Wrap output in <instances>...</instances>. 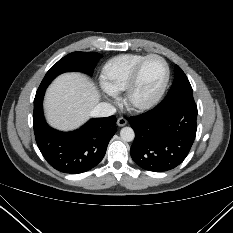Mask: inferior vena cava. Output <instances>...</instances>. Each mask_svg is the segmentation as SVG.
Listing matches in <instances>:
<instances>
[{
	"label": "inferior vena cava",
	"mask_w": 233,
	"mask_h": 233,
	"mask_svg": "<svg viewBox=\"0 0 233 233\" xmlns=\"http://www.w3.org/2000/svg\"><path fill=\"white\" fill-rule=\"evenodd\" d=\"M116 109L113 105L107 102L98 103L90 112L92 117H108L114 115Z\"/></svg>",
	"instance_id": "inferior-vena-cava-1"
}]
</instances>
